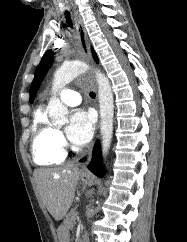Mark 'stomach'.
Here are the masks:
<instances>
[{
    "label": "stomach",
    "instance_id": "stomach-1",
    "mask_svg": "<svg viewBox=\"0 0 187 242\" xmlns=\"http://www.w3.org/2000/svg\"><path fill=\"white\" fill-rule=\"evenodd\" d=\"M81 180L84 184L90 185L92 183V177L86 176L84 174L80 175ZM57 236H58V242H69L70 241V233L66 226L60 225L57 229Z\"/></svg>",
    "mask_w": 187,
    "mask_h": 242
}]
</instances>
